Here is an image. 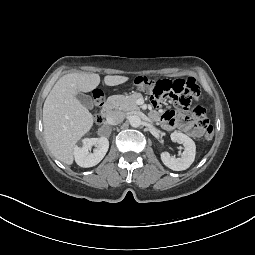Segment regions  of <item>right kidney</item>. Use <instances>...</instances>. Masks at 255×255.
<instances>
[{
	"instance_id": "ca27d5eb",
	"label": "right kidney",
	"mask_w": 255,
	"mask_h": 255,
	"mask_svg": "<svg viewBox=\"0 0 255 255\" xmlns=\"http://www.w3.org/2000/svg\"><path fill=\"white\" fill-rule=\"evenodd\" d=\"M95 147L91 153L89 150ZM109 141L106 137L85 138L74 147V158L76 163L84 168L97 165L106 155Z\"/></svg>"
}]
</instances>
